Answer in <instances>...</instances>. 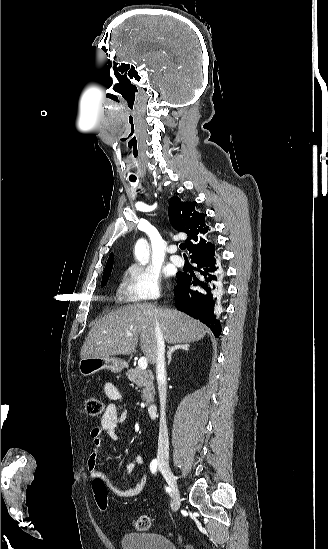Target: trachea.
Segmentation results:
<instances>
[{
	"label": "trachea",
	"instance_id": "obj_1",
	"mask_svg": "<svg viewBox=\"0 0 328 549\" xmlns=\"http://www.w3.org/2000/svg\"><path fill=\"white\" fill-rule=\"evenodd\" d=\"M131 182H135V180H131ZM186 248V244H180V249L185 250Z\"/></svg>",
	"mask_w": 328,
	"mask_h": 549
}]
</instances>
